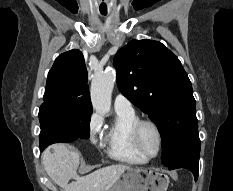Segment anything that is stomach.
<instances>
[{"instance_id":"0dacf381","label":"stomach","mask_w":233,"mask_h":191,"mask_svg":"<svg viewBox=\"0 0 233 191\" xmlns=\"http://www.w3.org/2000/svg\"><path fill=\"white\" fill-rule=\"evenodd\" d=\"M169 178L162 172L129 167L102 191H167Z\"/></svg>"}]
</instances>
